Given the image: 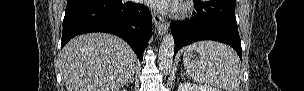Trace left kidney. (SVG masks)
<instances>
[{"label":"left kidney","instance_id":"5707ae66","mask_svg":"<svg viewBox=\"0 0 304 91\" xmlns=\"http://www.w3.org/2000/svg\"><path fill=\"white\" fill-rule=\"evenodd\" d=\"M178 91H220L209 85H196L190 83H182L178 87Z\"/></svg>","mask_w":304,"mask_h":91}]
</instances>
